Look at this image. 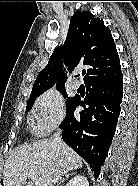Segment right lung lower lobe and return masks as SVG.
I'll return each mask as SVG.
<instances>
[{"label":"right lung lower lobe","mask_w":138,"mask_h":186,"mask_svg":"<svg viewBox=\"0 0 138 186\" xmlns=\"http://www.w3.org/2000/svg\"><path fill=\"white\" fill-rule=\"evenodd\" d=\"M85 86V98L75 97L60 127L63 141L90 165L97 179L115 134L123 97V76L89 81ZM77 106L84 110L75 117Z\"/></svg>","instance_id":"1"}]
</instances>
